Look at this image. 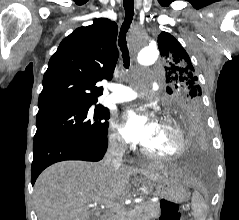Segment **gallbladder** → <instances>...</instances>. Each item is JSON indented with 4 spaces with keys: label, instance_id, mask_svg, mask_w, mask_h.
<instances>
[{
    "label": "gallbladder",
    "instance_id": "obj_1",
    "mask_svg": "<svg viewBox=\"0 0 239 220\" xmlns=\"http://www.w3.org/2000/svg\"><path fill=\"white\" fill-rule=\"evenodd\" d=\"M89 220H97V219L93 214H91Z\"/></svg>",
    "mask_w": 239,
    "mask_h": 220
}]
</instances>
